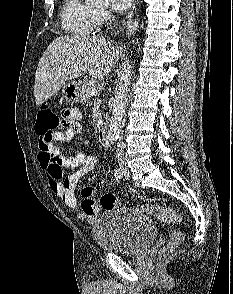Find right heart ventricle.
<instances>
[{"mask_svg": "<svg viewBox=\"0 0 233 294\" xmlns=\"http://www.w3.org/2000/svg\"><path fill=\"white\" fill-rule=\"evenodd\" d=\"M60 18L62 28L72 36H87L96 26L95 10L82 0H63Z\"/></svg>", "mask_w": 233, "mask_h": 294, "instance_id": "1", "label": "right heart ventricle"}]
</instances>
